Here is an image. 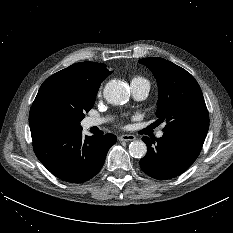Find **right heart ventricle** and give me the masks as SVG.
<instances>
[{"mask_svg": "<svg viewBox=\"0 0 233 233\" xmlns=\"http://www.w3.org/2000/svg\"><path fill=\"white\" fill-rule=\"evenodd\" d=\"M138 80H146V79H144V78L141 77V76H134V77L132 78L131 82L138 81Z\"/></svg>", "mask_w": 233, "mask_h": 233, "instance_id": "right-heart-ventricle-1", "label": "right heart ventricle"}]
</instances>
